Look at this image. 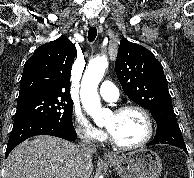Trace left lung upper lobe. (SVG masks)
<instances>
[{"label": "left lung upper lobe", "instance_id": "obj_1", "mask_svg": "<svg viewBox=\"0 0 194 178\" xmlns=\"http://www.w3.org/2000/svg\"><path fill=\"white\" fill-rule=\"evenodd\" d=\"M115 70L125 94L151 111L156 122L176 117L161 63L145 47L125 40Z\"/></svg>", "mask_w": 194, "mask_h": 178}]
</instances>
